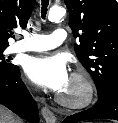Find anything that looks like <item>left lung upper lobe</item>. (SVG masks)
<instances>
[{"label": "left lung upper lobe", "mask_w": 118, "mask_h": 123, "mask_svg": "<svg viewBox=\"0 0 118 123\" xmlns=\"http://www.w3.org/2000/svg\"><path fill=\"white\" fill-rule=\"evenodd\" d=\"M74 49L101 95L118 82V3L115 0H65ZM81 31L79 34L78 31Z\"/></svg>", "instance_id": "obj_1"}]
</instances>
